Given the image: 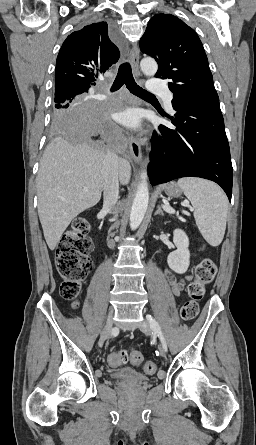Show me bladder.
<instances>
[{
    "instance_id": "bladder-1",
    "label": "bladder",
    "mask_w": 256,
    "mask_h": 445,
    "mask_svg": "<svg viewBox=\"0 0 256 445\" xmlns=\"http://www.w3.org/2000/svg\"><path fill=\"white\" fill-rule=\"evenodd\" d=\"M113 379L124 382L143 383L148 381V377L137 369L131 367H123L114 370L111 373Z\"/></svg>"
}]
</instances>
